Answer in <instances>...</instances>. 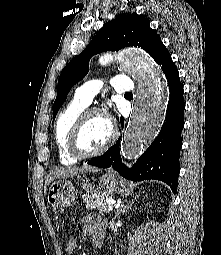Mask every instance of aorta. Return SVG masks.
I'll return each mask as SVG.
<instances>
[{
	"label": "aorta",
	"mask_w": 221,
	"mask_h": 255,
	"mask_svg": "<svg viewBox=\"0 0 221 255\" xmlns=\"http://www.w3.org/2000/svg\"><path fill=\"white\" fill-rule=\"evenodd\" d=\"M113 61L100 57L103 66ZM118 66L138 82L130 121L121 145L126 160H136L154 141L165 118L167 86L159 67L142 50L126 49L116 58Z\"/></svg>",
	"instance_id": "1"
}]
</instances>
